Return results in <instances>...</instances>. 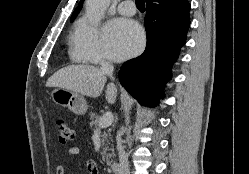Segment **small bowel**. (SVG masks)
I'll return each instance as SVG.
<instances>
[{
  "mask_svg": "<svg viewBox=\"0 0 249 174\" xmlns=\"http://www.w3.org/2000/svg\"><path fill=\"white\" fill-rule=\"evenodd\" d=\"M80 154H81V150L79 147H71L68 149L69 156L75 157V156H79ZM85 168L88 174H99L97 164L91 158H87L85 160ZM56 174H65V168L61 165L57 166Z\"/></svg>",
  "mask_w": 249,
  "mask_h": 174,
  "instance_id": "1",
  "label": "small bowel"
}]
</instances>
